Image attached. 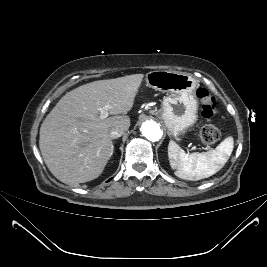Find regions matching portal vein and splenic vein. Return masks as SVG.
<instances>
[{"label": "portal vein and splenic vein", "mask_w": 267, "mask_h": 267, "mask_svg": "<svg viewBox=\"0 0 267 267\" xmlns=\"http://www.w3.org/2000/svg\"><path fill=\"white\" fill-rule=\"evenodd\" d=\"M107 109H108V107H106L105 109H101L100 110V118L101 119H105V118H107L108 117V112H107Z\"/></svg>", "instance_id": "portal-vein-and-splenic-vein-1"}]
</instances>
